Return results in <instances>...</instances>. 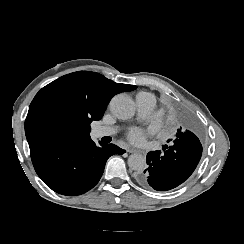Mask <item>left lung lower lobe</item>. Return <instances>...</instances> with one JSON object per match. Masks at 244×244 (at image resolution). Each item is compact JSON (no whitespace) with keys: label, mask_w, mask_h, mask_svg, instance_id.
I'll list each match as a JSON object with an SVG mask.
<instances>
[{"label":"left lung lower lobe","mask_w":244,"mask_h":244,"mask_svg":"<svg viewBox=\"0 0 244 244\" xmlns=\"http://www.w3.org/2000/svg\"><path fill=\"white\" fill-rule=\"evenodd\" d=\"M198 135L194 120L183 118L175 139L168 140L170 144L162 147L163 152L150 151L147 154L148 167L137 174V182L158 191H167L182 184L193 173L202 155Z\"/></svg>","instance_id":"obj_1"}]
</instances>
